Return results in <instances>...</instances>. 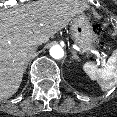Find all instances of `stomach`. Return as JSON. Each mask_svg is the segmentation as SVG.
Returning <instances> with one entry per match:
<instances>
[{
    "label": "stomach",
    "mask_w": 117,
    "mask_h": 117,
    "mask_svg": "<svg viewBox=\"0 0 117 117\" xmlns=\"http://www.w3.org/2000/svg\"><path fill=\"white\" fill-rule=\"evenodd\" d=\"M71 36L82 52H90L95 47L96 36L88 18L78 14L70 23Z\"/></svg>",
    "instance_id": "1"
}]
</instances>
